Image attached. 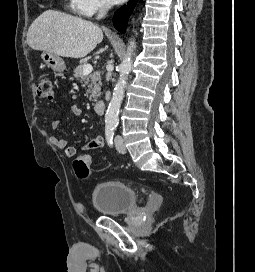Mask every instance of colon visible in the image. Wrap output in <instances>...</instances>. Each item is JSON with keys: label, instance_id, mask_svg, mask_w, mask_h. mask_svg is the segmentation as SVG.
<instances>
[{"label": "colon", "instance_id": "1", "mask_svg": "<svg viewBox=\"0 0 255 272\" xmlns=\"http://www.w3.org/2000/svg\"><path fill=\"white\" fill-rule=\"evenodd\" d=\"M37 94L41 98L52 99L53 98V84L52 78L44 76L40 79L37 85ZM74 169L77 176L81 179H85L90 174V160L88 156H82L74 162Z\"/></svg>", "mask_w": 255, "mask_h": 272}]
</instances>
